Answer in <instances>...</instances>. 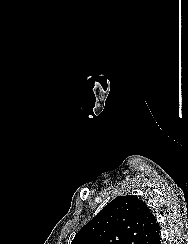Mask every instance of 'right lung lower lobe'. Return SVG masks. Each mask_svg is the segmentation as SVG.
<instances>
[{
  "label": "right lung lower lobe",
  "mask_w": 188,
  "mask_h": 244,
  "mask_svg": "<svg viewBox=\"0 0 188 244\" xmlns=\"http://www.w3.org/2000/svg\"><path fill=\"white\" fill-rule=\"evenodd\" d=\"M160 229L155 232L150 241L147 244H161L160 242Z\"/></svg>",
  "instance_id": "right-lung-lower-lobe-1"
}]
</instances>
